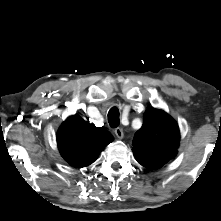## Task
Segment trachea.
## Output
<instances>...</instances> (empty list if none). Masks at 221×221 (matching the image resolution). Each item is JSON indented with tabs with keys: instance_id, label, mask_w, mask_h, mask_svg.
I'll list each match as a JSON object with an SVG mask.
<instances>
[{
	"instance_id": "trachea-1",
	"label": "trachea",
	"mask_w": 221,
	"mask_h": 221,
	"mask_svg": "<svg viewBox=\"0 0 221 221\" xmlns=\"http://www.w3.org/2000/svg\"><path fill=\"white\" fill-rule=\"evenodd\" d=\"M108 122L109 125L113 128L119 126L120 119H119V110L117 107H112L108 112Z\"/></svg>"
}]
</instances>
